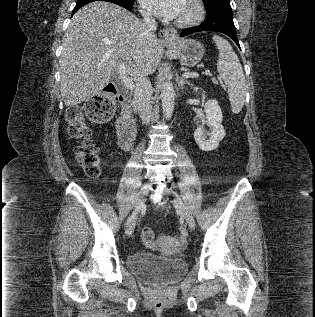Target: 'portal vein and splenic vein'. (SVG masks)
<instances>
[{
    "label": "portal vein and splenic vein",
    "mask_w": 315,
    "mask_h": 317,
    "mask_svg": "<svg viewBox=\"0 0 315 317\" xmlns=\"http://www.w3.org/2000/svg\"><path fill=\"white\" fill-rule=\"evenodd\" d=\"M117 72L119 74V77L121 79V81L123 82V84L127 87L132 89L134 87L133 81L127 76L126 74V67L125 65H120L117 69ZM205 74L207 76H210L211 73L209 70L205 71ZM184 78H198L199 74L197 72H185L182 75Z\"/></svg>",
    "instance_id": "obj_1"
}]
</instances>
